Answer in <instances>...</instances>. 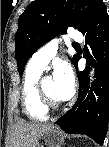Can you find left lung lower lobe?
<instances>
[{"mask_svg": "<svg viewBox=\"0 0 109 147\" xmlns=\"http://www.w3.org/2000/svg\"><path fill=\"white\" fill-rule=\"evenodd\" d=\"M80 32L85 36L96 61L91 60L90 52L84 56L87 59L86 69L77 72L79 99L56 124L67 133L85 134L98 144H103L109 122V15L104 3L98 6ZM90 66L96 68V79L83 100L89 89L87 76Z\"/></svg>", "mask_w": 109, "mask_h": 147, "instance_id": "obj_1", "label": "left lung lower lobe"}]
</instances>
